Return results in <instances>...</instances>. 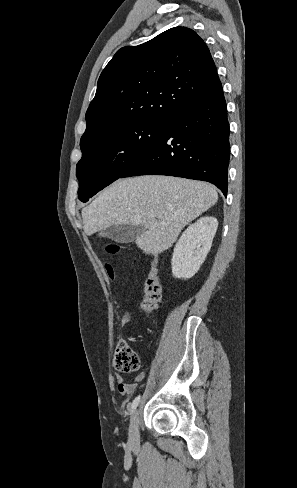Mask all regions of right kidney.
<instances>
[{
	"mask_svg": "<svg viewBox=\"0 0 297 488\" xmlns=\"http://www.w3.org/2000/svg\"><path fill=\"white\" fill-rule=\"evenodd\" d=\"M217 227L216 218L205 216L182 233L171 260L172 274L176 279H188L197 273L211 249Z\"/></svg>",
	"mask_w": 297,
	"mask_h": 488,
	"instance_id": "right-kidney-1",
	"label": "right kidney"
}]
</instances>
